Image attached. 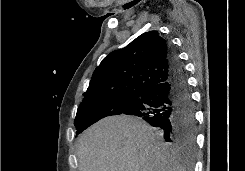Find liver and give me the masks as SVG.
<instances>
[{"label": "liver", "instance_id": "1", "mask_svg": "<svg viewBox=\"0 0 245 171\" xmlns=\"http://www.w3.org/2000/svg\"><path fill=\"white\" fill-rule=\"evenodd\" d=\"M79 171H185L161 142V134L139 118H104L79 138Z\"/></svg>", "mask_w": 245, "mask_h": 171}]
</instances>
